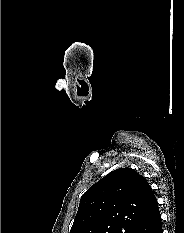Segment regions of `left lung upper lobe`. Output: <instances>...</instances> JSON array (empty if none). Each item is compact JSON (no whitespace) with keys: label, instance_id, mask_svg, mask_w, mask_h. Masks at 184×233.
I'll return each instance as SVG.
<instances>
[{"label":"left lung upper lobe","instance_id":"1","mask_svg":"<svg viewBox=\"0 0 184 233\" xmlns=\"http://www.w3.org/2000/svg\"><path fill=\"white\" fill-rule=\"evenodd\" d=\"M153 197L134 169L114 170L81 196L70 233H136Z\"/></svg>","mask_w":184,"mask_h":233}]
</instances>
